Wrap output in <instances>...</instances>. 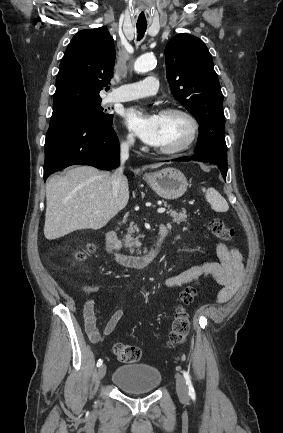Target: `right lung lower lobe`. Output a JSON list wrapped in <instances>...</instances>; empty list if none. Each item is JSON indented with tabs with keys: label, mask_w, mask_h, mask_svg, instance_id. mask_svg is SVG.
Wrapping results in <instances>:
<instances>
[{
	"label": "right lung lower lobe",
	"mask_w": 283,
	"mask_h": 433,
	"mask_svg": "<svg viewBox=\"0 0 283 433\" xmlns=\"http://www.w3.org/2000/svg\"><path fill=\"white\" fill-rule=\"evenodd\" d=\"M44 148V181L52 173L74 164L102 170L119 166V143L112 119L109 122L91 119L50 122Z\"/></svg>",
	"instance_id": "right-lung-lower-lobe-1"
}]
</instances>
